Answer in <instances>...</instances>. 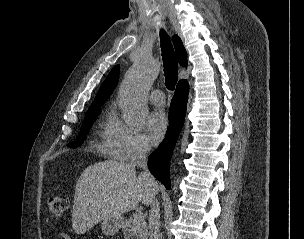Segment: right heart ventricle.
I'll return each mask as SVG.
<instances>
[{
  "instance_id": "e07e8e85",
  "label": "right heart ventricle",
  "mask_w": 304,
  "mask_h": 239,
  "mask_svg": "<svg viewBox=\"0 0 304 239\" xmlns=\"http://www.w3.org/2000/svg\"><path fill=\"white\" fill-rule=\"evenodd\" d=\"M111 123H112V119L110 117H108L105 120H103L98 127V134H99L100 140H101L100 147L106 153H107V151L104 150L102 147V141H103L104 137L106 136V134L108 133Z\"/></svg>"
}]
</instances>
